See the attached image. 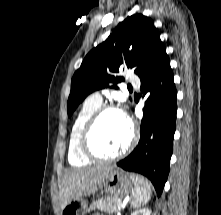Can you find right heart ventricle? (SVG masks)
<instances>
[{"mask_svg":"<svg viewBox=\"0 0 221 215\" xmlns=\"http://www.w3.org/2000/svg\"><path fill=\"white\" fill-rule=\"evenodd\" d=\"M100 105L101 101L90 96L83 102L75 116L70 130L67 153L68 162L72 166H86L91 162V160L82 153L79 139L86 121Z\"/></svg>","mask_w":221,"mask_h":215,"instance_id":"right-heart-ventricle-1","label":"right heart ventricle"}]
</instances>
